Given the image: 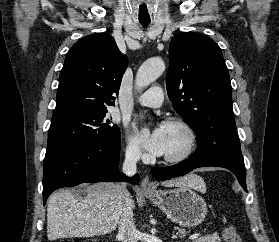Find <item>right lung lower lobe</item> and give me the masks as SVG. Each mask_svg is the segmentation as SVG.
Segmentation results:
<instances>
[{
  "label": "right lung lower lobe",
  "instance_id": "98d812e1",
  "mask_svg": "<svg viewBox=\"0 0 279 242\" xmlns=\"http://www.w3.org/2000/svg\"><path fill=\"white\" fill-rule=\"evenodd\" d=\"M120 139L102 144L83 145L62 150L45 157L43 173V204L56 189L80 183L128 180L117 171ZM138 183V175L130 179Z\"/></svg>",
  "mask_w": 279,
  "mask_h": 242
}]
</instances>
